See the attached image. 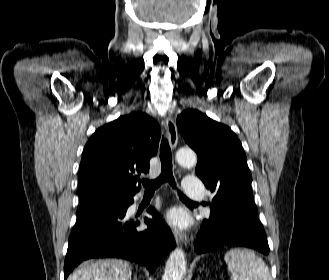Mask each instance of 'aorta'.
Masks as SVG:
<instances>
[{
	"label": "aorta",
	"mask_w": 329,
	"mask_h": 280,
	"mask_svg": "<svg viewBox=\"0 0 329 280\" xmlns=\"http://www.w3.org/2000/svg\"><path fill=\"white\" fill-rule=\"evenodd\" d=\"M177 162L184 167H192L197 162L196 154L192 150L180 149L176 153ZM186 273V258L182 249L176 248L170 254L162 280H182Z\"/></svg>",
	"instance_id": "obj_1"
}]
</instances>
